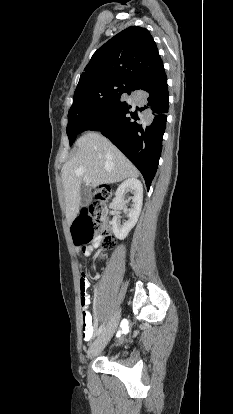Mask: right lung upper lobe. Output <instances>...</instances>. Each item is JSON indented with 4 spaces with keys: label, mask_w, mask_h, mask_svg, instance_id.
I'll return each mask as SVG.
<instances>
[{
    "label": "right lung upper lobe",
    "mask_w": 233,
    "mask_h": 414,
    "mask_svg": "<svg viewBox=\"0 0 233 414\" xmlns=\"http://www.w3.org/2000/svg\"><path fill=\"white\" fill-rule=\"evenodd\" d=\"M164 69L150 32L131 26L121 31L92 56L80 76L75 93L105 80L134 81Z\"/></svg>",
    "instance_id": "right-lung-upper-lobe-1"
}]
</instances>
